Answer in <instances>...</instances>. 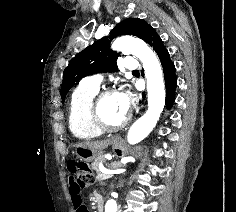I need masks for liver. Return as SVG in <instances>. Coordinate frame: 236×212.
I'll return each instance as SVG.
<instances>
[{
    "label": "liver",
    "mask_w": 236,
    "mask_h": 212,
    "mask_svg": "<svg viewBox=\"0 0 236 212\" xmlns=\"http://www.w3.org/2000/svg\"><path fill=\"white\" fill-rule=\"evenodd\" d=\"M110 140L106 139V140H99V141H84L81 143L76 144V147H86L91 149L93 152L97 153H101L104 149H106L109 144H110Z\"/></svg>",
    "instance_id": "liver-1"
}]
</instances>
